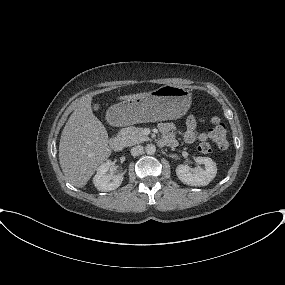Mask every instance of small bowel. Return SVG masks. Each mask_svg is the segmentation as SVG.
Masks as SVG:
<instances>
[{"instance_id": "1", "label": "small bowel", "mask_w": 285, "mask_h": 285, "mask_svg": "<svg viewBox=\"0 0 285 285\" xmlns=\"http://www.w3.org/2000/svg\"><path fill=\"white\" fill-rule=\"evenodd\" d=\"M159 129L163 135L162 143L169 146L177 145V128L175 124L172 122H163L159 125ZM183 135L187 143H193L195 141L205 142L208 139L206 132L197 130V121L194 116H190L187 119Z\"/></svg>"}]
</instances>
